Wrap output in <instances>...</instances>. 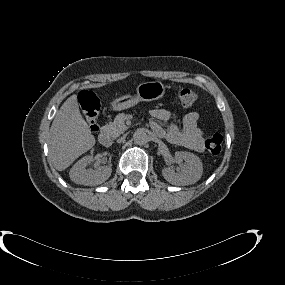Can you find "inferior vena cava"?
Here are the masks:
<instances>
[{
  "label": "inferior vena cava",
  "instance_id": "602c4592",
  "mask_svg": "<svg viewBox=\"0 0 285 285\" xmlns=\"http://www.w3.org/2000/svg\"><path fill=\"white\" fill-rule=\"evenodd\" d=\"M118 142L119 143H124L125 142V137L124 136H119L118 137Z\"/></svg>",
  "mask_w": 285,
  "mask_h": 285
}]
</instances>
